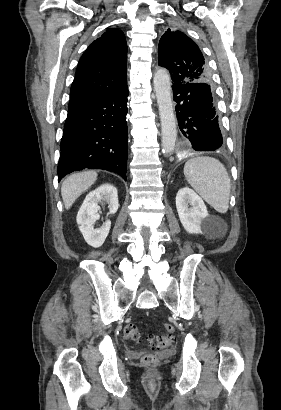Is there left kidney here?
Returning a JSON list of instances; mask_svg holds the SVG:
<instances>
[{"label":"left kidney","mask_w":281,"mask_h":410,"mask_svg":"<svg viewBox=\"0 0 281 410\" xmlns=\"http://www.w3.org/2000/svg\"><path fill=\"white\" fill-rule=\"evenodd\" d=\"M176 208L180 222L188 233H201L209 222L206 205L202 198L189 187L181 188L178 191Z\"/></svg>","instance_id":"left-kidney-1"}]
</instances>
